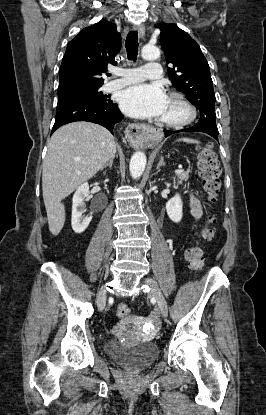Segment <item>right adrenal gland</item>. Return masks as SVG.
<instances>
[{"label":"right adrenal gland","instance_id":"right-adrenal-gland-1","mask_svg":"<svg viewBox=\"0 0 266 415\" xmlns=\"http://www.w3.org/2000/svg\"><path fill=\"white\" fill-rule=\"evenodd\" d=\"M114 159H115V156H113L102 168H101V171L104 169V168H106V167H110V168H112V166H113V162H114Z\"/></svg>","mask_w":266,"mask_h":415}]
</instances>
